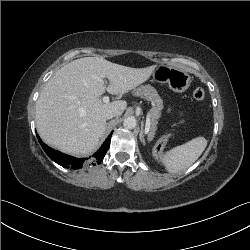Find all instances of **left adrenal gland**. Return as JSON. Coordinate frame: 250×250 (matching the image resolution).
<instances>
[{"label":"left adrenal gland","mask_w":250,"mask_h":250,"mask_svg":"<svg viewBox=\"0 0 250 250\" xmlns=\"http://www.w3.org/2000/svg\"><path fill=\"white\" fill-rule=\"evenodd\" d=\"M145 132H144V123L143 121L141 122V130H140V134H139V138L141 140V142L145 143Z\"/></svg>","instance_id":"obj_1"}]
</instances>
